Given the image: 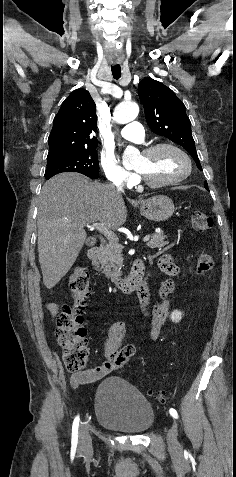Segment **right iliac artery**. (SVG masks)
Listing matches in <instances>:
<instances>
[{"label": "right iliac artery", "mask_w": 236, "mask_h": 477, "mask_svg": "<svg viewBox=\"0 0 236 477\" xmlns=\"http://www.w3.org/2000/svg\"><path fill=\"white\" fill-rule=\"evenodd\" d=\"M79 421H80L79 416H76L72 425V439H71L72 446H77V443H78Z\"/></svg>", "instance_id": "82829eb1"}]
</instances>
